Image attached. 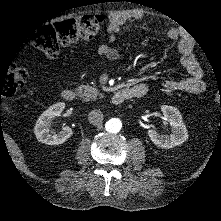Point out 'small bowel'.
<instances>
[{
	"instance_id": "small-bowel-1",
	"label": "small bowel",
	"mask_w": 221,
	"mask_h": 221,
	"mask_svg": "<svg viewBox=\"0 0 221 221\" xmlns=\"http://www.w3.org/2000/svg\"><path fill=\"white\" fill-rule=\"evenodd\" d=\"M143 17L144 14L140 11L128 10L111 13L106 29V43L101 44L97 48V54L99 56L106 57L111 61L119 60V51L110 44L117 39L121 33L122 26H124L128 20H139ZM130 28L131 25H125L126 30ZM168 36L172 40L178 39V33L175 30L169 31ZM192 47L193 44L189 38H183L178 45V50L181 54V64L189 73V77L185 79H166L163 82L165 89L170 91H184L192 94H200L204 92L205 83L203 80V71L192 54Z\"/></svg>"
}]
</instances>
